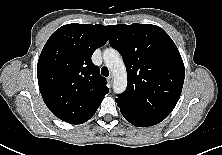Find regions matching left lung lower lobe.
<instances>
[{
	"instance_id": "0a47b994",
	"label": "left lung lower lobe",
	"mask_w": 222,
	"mask_h": 155,
	"mask_svg": "<svg viewBox=\"0 0 222 155\" xmlns=\"http://www.w3.org/2000/svg\"><path fill=\"white\" fill-rule=\"evenodd\" d=\"M115 101L118 107L120 108V111L124 116V118L135 126L138 127L153 126L166 118L165 116L162 115L134 109L131 106L117 99H115Z\"/></svg>"
}]
</instances>
